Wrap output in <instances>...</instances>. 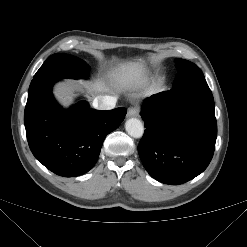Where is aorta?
I'll return each mask as SVG.
<instances>
[{
	"label": "aorta",
	"instance_id": "1",
	"mask_svg": "<svg viewBox=\"0 0 247 247\" xmlns=\"http://www.w3.org/2000/svg\"><path fill=\"white\" fill-rule=\"evenodd\" d=\"M126 132L133 138H141L144 133L143 123L137 118H130L125 123Z\"/></svg>",
	"mask_w": 247,
	"mask_h": 247
}]
</instances>
